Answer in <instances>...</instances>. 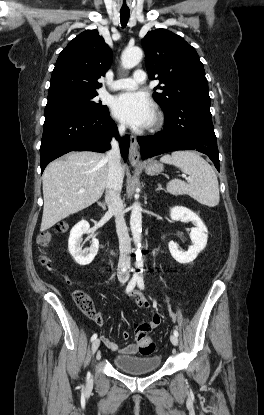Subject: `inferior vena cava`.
<instances>
[{"mask_svg": "<svg viewBox=\"0 0 264 415\" xmlns=\"http://www.w3.org/2000/svg\"><path fill=\"white\" fill-rule=\"evenodd\" d=\"M119 132L120 134H124V125L119 126ZM111 145L112 149L106 154V158L108 159V177L106 181L105 201L109 211L115 216L116 232L119 239L120 256L117 273L119 276H127L130 269L131 244L123 215L124 206L120 197L124 174L119 146L115 139L112 140Z\"/></svg>", "mask_w": 264, "mask_h": 415, "instance_id": "obj_1", "label": "inferior vena cava"}]
</instances>
